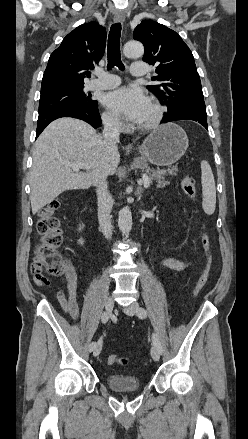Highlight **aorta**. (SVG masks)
I'll list each match as a JSON object with an SVG mask.
<instances>
[{"label": "aorta", "mask_w": 248, "mask_h": 439, "mask_svg": "<svg viewBox=\"0 0 248 439\" xmlns=\"http://www.w3.org/2000/svg\"><path fill=\"white\" fill-rule=\"evenodd\" d=\"M123 53L128 58L140 57L144 53V47L138 41H129L124 45ZM118 227L123 234L129 233L132 229V213L128 206L119 211Z\"/></svg>", "instance_id": "1"}]
</instances>
